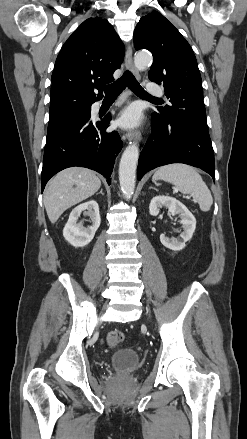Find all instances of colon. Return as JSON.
Masks as SVG:
<instances>
[{"label":"colon","mask_w":247,"mask_h":439,"mask_svg":"<svg viewBox=\"0 0 247 439\" xmlns=\"http://www.w3.org/2000/svg\"><path fill=\"white\" fill-rule=\"evenodd\" d=\"M124 339L125 337L120 331H112L107 335V343L112 348L118 347Z\"/></svg>","instance_id":"colon-1"}]
</instances>
